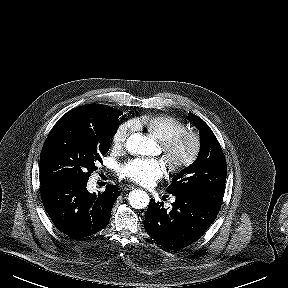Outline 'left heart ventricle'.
Wrapping results in <instances>:
<instances>
[{"label":"left heart ventricle","mask_w":288,"mask_h":288,"mask_svg":"<svg viewBox=\"0 0 288 288\" xmlns=\"http://www.w3.org/2000/svg\"><path fill=\"white\" fill-rule=\"evenodd\" d=\"M189 148H190V143L189 142H183L180 146V152L182 154L187 153Z\"/></svg>","instance_id":"obj_1"}]
</instances>
